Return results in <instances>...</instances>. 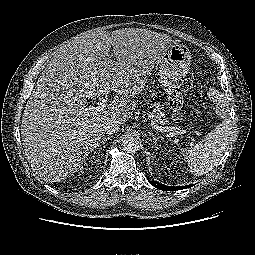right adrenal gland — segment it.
Listing matches in <instances>:
<instances>
[{
    "label": "right adrenal gland",
    "instance_id": "right-adrenal-gland-1",
    "mask_svg": "<svg viewBox=\"0 0 255 255\" xmlns=\"http://www.w3.org/2000/svg\"><path fill=\"white\" fill-rule=\"evenodd\" d=\"M111 138H112V136L104 137L103 140L100 142L102 144V146H103V150L105 149L106 142L108 140H110ZM99 146H101V145L98 144L97 147H99ZM97 147H95V148H97Z\"/></svg>",
    "mask_w": 255,
    "mask_h": 255
}]
</instances>
